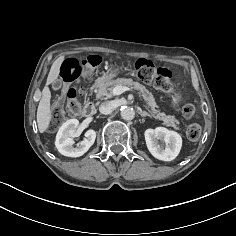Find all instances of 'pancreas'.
I'll list each match as a JSON object with an SVG mask.
<instances>
[{
    "mask_svg": "<svg viewBox=\"0 0 236 236\" xmlns=\"http://www.w3.org/2000/svg\"><path fill=\"white\" fill-rule=\"evenodd\" d=\"M116 86H124L133 88L142 95L144 100L151 108V113L158 119L164 121L166 126L173 127L176 130H179V121L173 116H166L164 113H161L157 110V104L151 92H149L146 87L138 82L133 81L132 79L127 78H118L115 80H107L104 83H101L97 86V98H111L113 97L112 90Z\"/></svg>",
    "mask_w": 236,
    "mask_h": 236,
    "instance_id": "cf45deb5",
    "label": "pancreas"
}]
</instances>
